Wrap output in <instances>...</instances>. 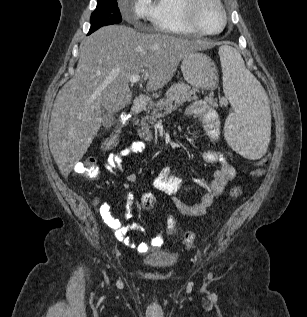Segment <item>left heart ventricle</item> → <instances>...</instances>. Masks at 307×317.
Returning a JSON list of instances; mask_svg holds the SVG:
<instances>
[{"label": "left heart ventricle", "mask_w": 307, "mask_h": 317, "mask_svg": "<svg viewBox=\"0 0 307 317\" xmlns=\"http://www.w3.org/2000/svg\"><path fill=\"white\" fill-rule=\"evenodd\" d=\"M200 25L208 31H215L221 26V14L218 7L211 2H204L198 9Z\"/></svg>", "instance_id": "left-heart-ventricle-1"}]
</instances>
